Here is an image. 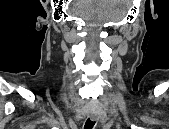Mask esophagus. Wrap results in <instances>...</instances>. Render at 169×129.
<instances>
[{
	"label": "esophagus",
	"instance_id": "1",
	"mask_svg": "<svg viewBox=\"0 0 169 129\" xmlns=\"http://www.w3.org/2000/svg\"><path fill=\"white\" fill-rule=\"evenodd\" d=\"M91 119L94 121L95 120V116L91 115Z\"/></svg>",
	"mask_w": 169,
	"mask_h": 129
}]
</instances>
